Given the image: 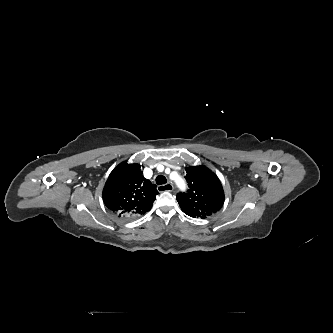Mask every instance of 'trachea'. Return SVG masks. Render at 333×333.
I'll return each mask as SVG.
<instances>
[{
  "label": "trachea",
  "instance_id": "trachea-1",
  "mask_svg": "<svg viewBox=\"0 0 333 333\" xmlns=\"http://www.w3.org/2000/svg\"><path fill=\"white\" fill-rule=\"evenodd\" d=\"M156 183L158 185L166 184L167 179L163 175H159V176L156 177Z\"/></svg>",
  "mask_w": 333,
  "mask_h": 333
}]
</instances>
